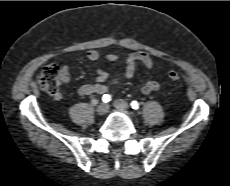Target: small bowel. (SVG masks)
Returning <instances> with one entry per match:
<instances>
[{"instance_id":"small-bowel-1","label":"small bowel","mask_w":230,"mask_h":186,"mask_svg":"<svg viewBox=\"0 0 230 186\" xmlns=\"http://www.w3.org/2000/svg\"><path fill=\"white\" fill-rule=\"evenodd\" d=\"M102 55L96 50H90L87 53L88 60L92 62H97L101 59ZM106 60L115 62L120 59V56L115 53H108L103 56ZM125 71L124 78L130 79L134 76L136 70V64L141 63L147 68H151L154 64L152 57L142 51L132 52L128 54L125 58ZM61 79L64 83H68L70 81L69 69L67 67H63L61 71ZM117 82L116 79L109 80L108 73L102 68H97L95 73V81L94 83L83 84L78 88V94L80 96H90L95 94H104L109 88ZM161 87V83L158 80L150 79L146 80L141 85V92L143 94H150L159 90ZM56 98L60 99L61 94L56 95Z\"/></svg>"}]
</instances>
